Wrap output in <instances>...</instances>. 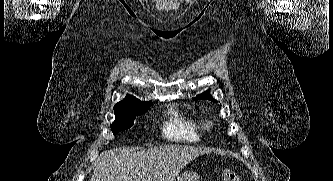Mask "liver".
Segmentation results:
<instances>
[{
	"label": "liver",
	"mask_w": 333,
	"mask_h": 181,
	"mask_svg": "<svg viewBox=\"0 0 333 181\" xmlns=\"http://www.w3.org/2000/svg\"><path fill=\"white\" fill-rule=\"evenodd\" d=\"M205 153L204 148L184 145L108 150L100 154L90 181H174L188 163Z\"/></svg>",
	"instance_id": "liver-1"
}]
</instances>
